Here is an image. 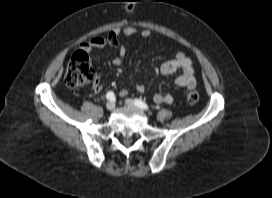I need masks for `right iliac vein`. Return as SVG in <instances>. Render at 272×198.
Returning a JSON list of instances; mask_svg holds the SVG:
<instances>
[{
  "label": "right iliac vein",
  "instance_id": "63e3f726",
  "mask_svg": "<svg viewBox=\"0 0 272 198\" xmlns=\"http://www.w3.org/2000/svg\"><path fill=\"white\" fill-rule=\"evenodd\" d=\"M106 108H107L109 111H112V110L115 108V104H114L112 101H109V102H107V104H106Z\"/></svg>",
  "mask_w": 272,
  "mask_h": 198
}]
</instances>
